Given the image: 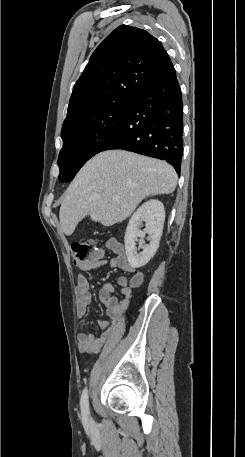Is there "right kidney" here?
Masks as SVG:
<instances>
[{
	"instance_id": "obj_1",
	"label": "right kidney",
	"mask_w": 245,
	"mask_h": 457,
	"mask_svg": "<svg viewBox=\"0 0 245 457\" xmlns=\"http://www.w3.org/2000/svg\"><path fill=\"white\" fill-rule=\"evenodd\" d=\"M143 220L145 222V229L141 231L140 226H143ZM164 220V204L161 200H155V198L144 202L132 214L127 224L124 239L125 251L130 267H133V269L144 267L154 257L162 237ZM146 233L149 235L147 241H150V243L149 245H143L144 241H141L139 243V249H143V251L138 253L139 249L135 247V241H138V237L143 239Z\"/></svg>"
}]
</instances>
